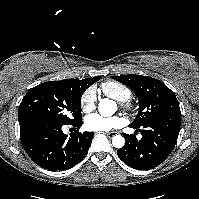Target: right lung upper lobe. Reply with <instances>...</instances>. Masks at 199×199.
<instances>
[{
    "label": "right lung upper lobe",
    "instance_id": "right-lung-upper-lobe-1",
    "mask_svg": "<svg viewBox=\"0 0 199 199\" xmlns=\"http://www.w3.org/2000/svg\"><path fill=\"white\" fill-rule=\"evenodd\" d=\"M101 77H93V78H86L83 80L78 79H67L70 84H72L75 87H79L81 89L86 90L89 86H91L93 83L98 81Z\"/></svg>",
    "mask_w": 199,
    "mask_h": 199
}]
</instances>
